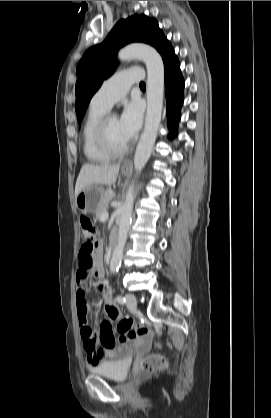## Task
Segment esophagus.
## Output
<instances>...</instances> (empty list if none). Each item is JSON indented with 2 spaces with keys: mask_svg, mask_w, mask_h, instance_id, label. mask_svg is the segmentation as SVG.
<instances>
[{
  "mask_svg": "<svg viewBox=\"0 0 271 418\" xmlns=\"http://www.w3.org/2000/svg\"><path fill=\"white\" fill-rule=\"evenodd\" d=\"M131 164H132L131 159H127V160H125V162L123 163V166H124V167H127V166H131Z\"/></svg>",
  "mask_w": 271,
  "mask_h": 418,
  "instance_id": "esophagus-1",
  "label": "esophagus"
}]
</instances>
